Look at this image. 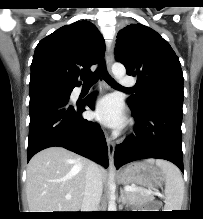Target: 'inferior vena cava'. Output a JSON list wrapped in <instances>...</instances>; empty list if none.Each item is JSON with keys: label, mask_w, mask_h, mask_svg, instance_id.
Segmentation results:
<instances>
[{"label": "inferior vena cava", "mask_w": 203, "mask_h": 219, "mask_svg": "<svg viewBox=\"0 0 203 219\" xmlns=\"http://www.w3.org/2000/svg\"><path fill=\"white\" fill-rule=\"evenodd\" d=\"M102 190L103 185L99 178L98 165L90 162L86 171V184L81 205L82 212L98 211Z\"/></svg>", "instance_id": "obj_1"}]
</instances>
